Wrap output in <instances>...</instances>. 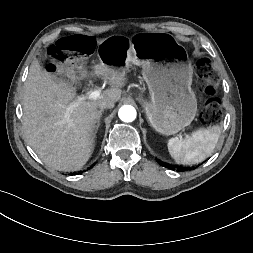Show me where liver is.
Returning <instances> with one entry per match:
<instances>
[{
  "mask_svg": "<svg viewBox=\"0 0 253 253\" xmlns=\"http://www.w3.org/2000/svg\"><path fill=\"white\" fill-rule=\"evenodd\" d=\"M94 74L112 88L96 100L76 98L73 85L42 70L38 61L30 66L23 93V130L28 144L49 167L80 170L94 150V124L99 102L121 97L125 72L106 65L94 66Z\"/></svg>",
  "mask_w": 253,
  "mask_h": 253,
  "instance_id": "liver-1",
  "label": "liver"
}]
</instances>
